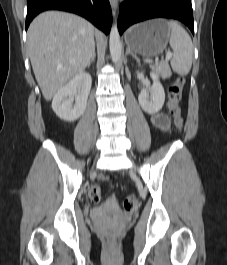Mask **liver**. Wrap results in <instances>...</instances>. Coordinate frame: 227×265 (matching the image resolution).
<instances>
[{
	"label": "liver",
	"mask_w": 227,
	"mask_h": 265,
	"mask_svg": "<svg viewBox=\"0 0 227 265\" xmlns=\"http://www.w3.org/2000/svg\"><path fill=\"white\" fill-rule=\"evenodd\" d=\"M27 45L35 78L49 101L87 67L95 50L94 26L74 14L47 11L31 22Z\"/></svg>",
	"instance_id": "liver-1"
}]
</instances>
